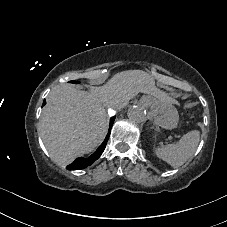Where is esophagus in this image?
<instances>
[{
    "mask_svg": "<svg viewBox=\"0 0 227 227\" xmlns=\"http://www.w3.org/2000/svg\"><path fill=\"white\" fill-rule=\"evenodd\" d=\"M137 103H138L139 106L145 107V106L148 105L149 100H148L147 97L141 96V97L138 98Z\"/></svg>",
    "mask_w": 227,
    "mask_h": 227,
    "instance_id": "esophagus-1",
    "label": "esophagus"
}]
</instances>
